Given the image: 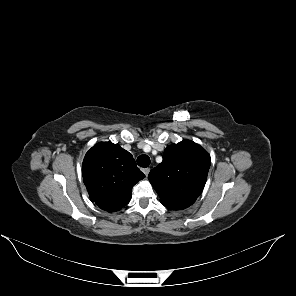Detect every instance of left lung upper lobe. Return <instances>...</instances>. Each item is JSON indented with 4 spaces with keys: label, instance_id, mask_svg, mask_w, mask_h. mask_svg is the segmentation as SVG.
Here are the masks:
<instances>
[{
    "label": "left lung upper lobe",
    "instance_id": "left-lung-upper-lobe-1",
    "mask_svg": "<svg viewBox=\"0 0 296 296\" xmlns=\"http://www.w3.org/2000/svg\"><path fill=\"white\" fill-rule=\"evenodd\" d=\"M210 163L209 154L200 145L183 140L165 149L162 163L148 178L165 207L182 210L201 194Z\"/></svg>",
    "mask_w": 296,
    "mask_h": 296
}]
</instances>
